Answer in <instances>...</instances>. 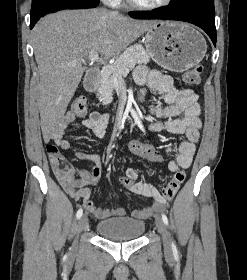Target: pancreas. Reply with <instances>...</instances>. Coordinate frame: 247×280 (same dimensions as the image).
I'll use <instances>...</instances> for the list:
<instances>
[{
  "mask_svg": "<svg viewBox=\"0 0 247 280\" xmlns=\"http://www.w3.org/2000/svg\"><path fill=\"white\" fill-rule=\"evenodd\" d=\"M150 61V55L145 51L142 45L136 44L126 49L113 65L107 66L101 73V85L98 88L97 97L103 105L112 102L113 91L116 88V80L122 78L129 69L136 64H147Z\"/></svg>",
  "mask_w": 247,
  "mask_h": 280,
  "instance_id": "pancreas-1",
  "label": "pancreas"
}]
</instances>
